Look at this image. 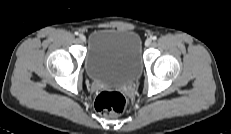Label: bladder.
<instances>
[{
  "mask_svg": "<svg viewBox=\"0 0 231 134\" xmlns=\"http://www.w3.org/2000/svg\"><path fill=\"white\" fill-rule=\"evenodd\" d=\"M84 66L87 76L105 85L136 80L143 67L139 35L130 30L98 29L88 38Z\"/></svg>",
  "mask_w": 231,
  "mask_h": 134,
  "instance_id": "1",
  "label": "bladder"
}]
</instances>
